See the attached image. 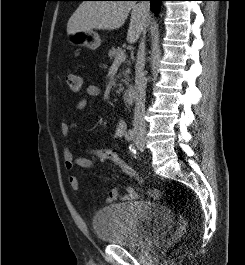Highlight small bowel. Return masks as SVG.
I'll list each match as a JSON object with an SVG mask.
<instances>
[{
    "label": "small bowel",
    "instance_id": "c3829d8e",
    "mask_svg": "<svg viewBox=\"0 0 245 265\" xmlns=\"http://www.w3.org/2000/svg\"><path fill=\"white\" fill-rule=\"evenodd\" d=\"M85 94L88 97H99L101 95V89L99 86L90 84L87 85L84 89ZM87 106V100L85 98H81L77 101L75 105L76 111H81ZM74 128V123L68 122L66 119H63L61 122V135L63 139L67 140L70 136L72 129ZM124 133V125L119 124L115 128L113 132L114 138H119ZM64 165L66 170L73 171L76 167H80L82 169L90 170L94 167V161L90 158L83 156H75L69 148H65L63 151ZM68 184L70 188L74 191H78L80 189V181L79 178L75 175H69ZM125 195L121 196V188L115 187L109 190L106 202L112 203L117 200H125V201H133L138 199L139 194L132 186H125ZM149 196L153 199H158L160 197V192L158 190H152L149 192Z\"/></svg>",
    "mask_w": 245,
    "mask_h": 265
}]
</instances>
